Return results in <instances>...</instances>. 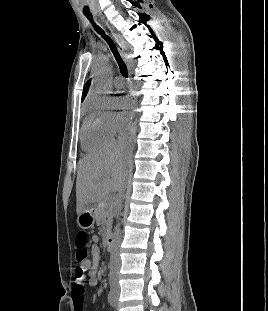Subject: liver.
<instances>
[{
    "label": "liver",
    "mask_w": 268,
    "mask_h": 311,
    "mask_svg": "<svg viewBox=\"0 0 268 311\" xmlns=\"http://www.w3.org/2000/svg\"><path fill=\"white\" fill-rule=\"evenodd\" d=\"M126 174L127 155L120 145L112 144L81 159L76 180L77 214L100 202L109 192H120L125 187Z\"/></svg>",
    "instance_id": "liver-1"
}]
</instances>
